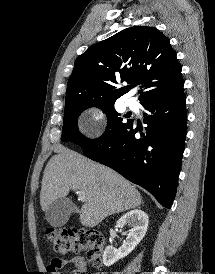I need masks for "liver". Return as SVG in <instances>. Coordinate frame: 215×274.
Listing matches in <instances>:
<instances>
[{
    "instance_id": "1",
    "label": "liver",
    "mask_w": 215,
    "mask_h": 274,
    "mask_svg": "<svg viewBox=\"0 0 215 274\" xmlns=\"http://www.w3.org/2000/svg\"><path fill=\"white\" fill-rule=\"evenodd\" d=\"M70 190L86 193L80 222L95 227L112 214L139 207L142 197L126 179L114 170L95 163L66 148H60L44 170L40 205L43 211Z\"/></svg>"
}]
</instances>
